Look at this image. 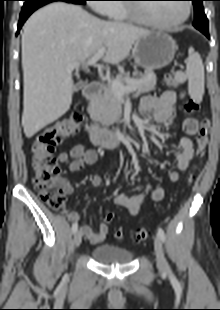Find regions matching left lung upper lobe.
I'll return each mask as SVG.
<instances>
[{
  "mask_svg": "<svg viewBox=\"0 0 220 310\" xmlns=\"http://www.w3.org/2000/svg\"><path fill=\"white\" fill-rule=\"evenodd\" d=\"M194 4V27L201 32H208V19L204 13L203 4L204 0H191Z\"/></svg>",
  "mask_w": 220,
  "mask_h": 310,
  "instance_id": "left-lung-upper-lobe-1",
  "label": "left lung upper lobe"
}]
</instances>
